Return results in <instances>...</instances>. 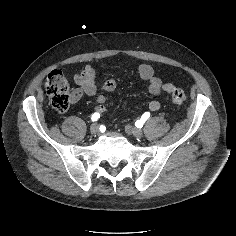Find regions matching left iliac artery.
I'll list each match as a JSON object with an SVG mask.
<instances>
[{"label":"left iliac artery","mask_w":236,"mask_h":236,"mask_svg":"<svg viewBox=\"0 0 236 236\" xmlns=\"http://www.w3.org/2000/svg\"><path fill=\"white\" fill-rule=\"evenodd\" d=\"M150 117L149 112H145L141 117V122H145Z\"/></svg>","instance_id":"obj_1"}]
</instances>
